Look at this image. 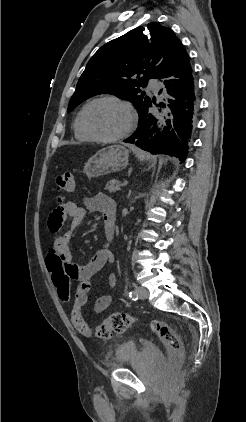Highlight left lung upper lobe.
I'll list each match as a JSON object with an SVG mask.
<instances>
[{
	"mask_svg": "<svg viewBox=\"0 0 246 422\" xmlns=\"http://www.w3.org/2000/svg\"><path fill=\"white\" fill-rule=\"evenodd\" d=\"M181 45L171 29L155 22L108 42L87 63L68 111L92 96L113 94L132 102L140 115L151 104L140 87L163 77Z\"/></svg>",
	"mask_w": 246,
	"mask_h": 422,
	"instance_id": "obj_1",
	"label": "left lung upper lobe"
}]
</instances>
